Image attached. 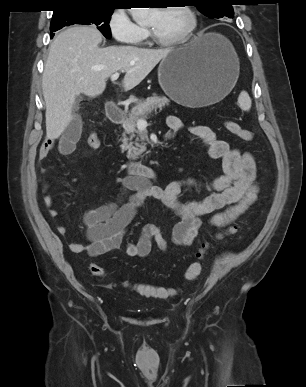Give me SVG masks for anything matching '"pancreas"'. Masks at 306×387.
I'll list each match as a JSON object with an SVG mask.
<instances>
[{
	"label": "pancreas",
	"mask_w": 306,
	"mask_h": 387,
	"mask_svg": "<svg viewBox=\"0 0 306 387\" xmlns=\"http://www.w3.org/2000/svg\"><path fill=\"white\" fill-rule=\"evenodd\" d=\"M170 100L165 96H153L148 97L146 100H136L130 113H128L123 121V128L125 133L121 139L122 152L127 151V158L137 160L143 157V153L146 151V143L148 136L146 132L140 133L136 129V121L139 118H147L151 113L157 114V111H162L165 105H169ZM129 135V137L126 136ZM135 141H132L135 138Z\"/></svg>",
	"instance_id": "cf45deb5"
}]
</instances>
